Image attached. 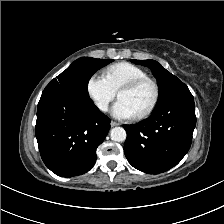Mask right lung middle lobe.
<instances>
[{
    "label": "right lung middle lobe",
    "instance_id": "dd1d6c3e",
    "mask_svg": "<svg viewBox=\"0 0 224 224\" xmlns=\"http://www.w3.org/2000/svg\"><path fill=\"white\" fill-rule=\"evenodd\" d=\"M112 61V59L79 58L54 78L47 88L65 89L89 97L87 86L91 76Z\"/></svg>",
    "mask_w": 224,
    "mask_h": 224
}]
</instances>
